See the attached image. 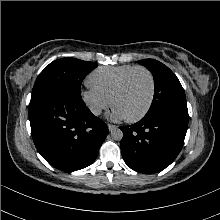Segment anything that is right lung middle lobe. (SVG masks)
<instances>
[{
  "label": "right lung middle lobe",
  "instance_id": "dd1d6c3e",
  "mask_svg": "<svg viewBox=\"0 0 220 220\" xmlns=\"http://www.w3.org/2000/svg\"><path fill=\"white\" fill-rule=\"evenodd\" d=\"M97 64L75 58H61L50 63L37 77L32 94L41 91L64 92L82 99L80 87L85 76Z\"/></svg>",
  "mask_w": 220,
  "mask_h": 220
}]
</instances>
